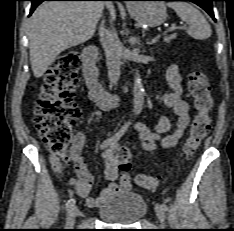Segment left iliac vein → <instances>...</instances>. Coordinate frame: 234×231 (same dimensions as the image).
<instances>
[{"label": "left iliac vein", "instance_id": "4c4485c4", "mask_svg": "<svg viewBox=\"0 0 234 231\" xmlns=\"http://www.w3.org/2000/svg\"><path fill=\"white\" fill-rule=\"evenodd\" d=\"M155 212L156 216L158 217L161 224H164L165 222V211L161 208V205L156 204L155 205Z\"/></svg>", "mask_w": 234, "mask_h": 231}]
</instances>
